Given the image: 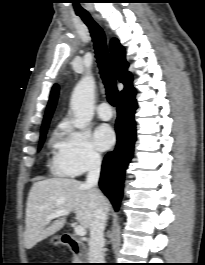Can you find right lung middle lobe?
Returning a JSON list of instances; mask_svg holds the SVG:
<instances>
[{
    "mask_svg": "<svg viewBox=\"0 0 205 265\" xmlns=\"http://www.w3.org/2000/svg\"><path fill=\"white\" fill-rule=\"evenodd\" d=\"M47 128H48V126L45 127V128H42V130H41V137H40V145H39V148L42 146V144H43V142L45 140V135H46V132H47Z\"/></svg>",
    "mask_w": 205,
    "mask_h": 265,
    "instance_id": "obj_1",
    "label": "right lung middle lobe"
}]
</instances>
